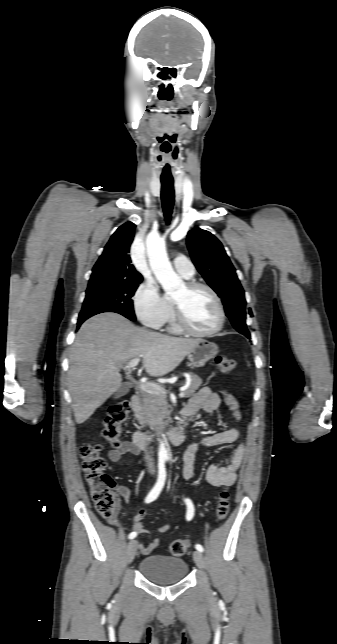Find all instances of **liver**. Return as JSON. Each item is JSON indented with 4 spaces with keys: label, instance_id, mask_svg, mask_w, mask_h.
<instances>
[{
    "label": "liver",
    "instance_id": "obj_1",
    "mask_svg": "<svg viewBox=\"0 0 337 644\" xmlns=\"http://www.w3.org/2000/svg\"><path fill=\"white\" fill-rule=\"evenodd\" d=\"M147 331L116 313H101L80 327L70 350L68 386L77 424L91 417L122 385L120 368L142 357L154 377L173 371L199 343Z\"/></svg>",
    "mask_w": 337,
    "mask_h": 644
}]
</instances>
